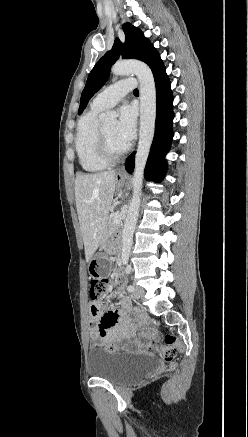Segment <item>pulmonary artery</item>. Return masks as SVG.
<instances>
[{"label": "pulmonary artery", "mask_w": 248, "mask_h": 437, "mask_svg": "<svg viewBox=\"0 0 248 437\" xmlns=\"http://www.w3.org/2000/svg\"><path fill=\"white\" fill-rule=\"evenodd\" d=\"M136 84L137 82L134 78L117 81L98 93L92 102V106L102 110L113 107L127 93L131 92L136 87Z\"/></svg>", "instance_id": "obj_1"}]
</instances>
